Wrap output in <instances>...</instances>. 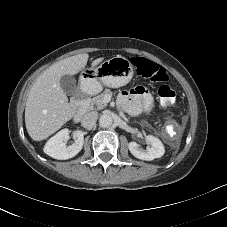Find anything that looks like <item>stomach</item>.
I'll return each instance as SVG.
<instances>
[{
    "label": "stomach",
    "instance_id": "1",
    "mask_svg": "<svg viewBox=\"0 0 227 227\" xmlns=\"http://www.w3.org/2000/svg\"><path fill=\"white\" fill-rule=\"evenodd\" d=\"M133 77L131 62L122 56L105 60L97 67L83 69L80 80L87 92L96 93L102 85L118 88L126 85ZM91 83H94L91 84Z\"/></svg>",
    "mask_w": 227,
    "mask_h": 227
}]
</instances>
